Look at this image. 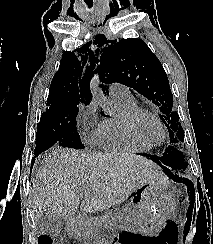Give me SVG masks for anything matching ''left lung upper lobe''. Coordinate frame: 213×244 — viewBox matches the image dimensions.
I'll return each instance as SVG.
<instances>
[{
  "label": "left lung upper lobe",
  "mask_w": 213,
  "mask_h": 244,
  "mask_svg": "<svg viewBox=\"0 0 213 244\" xmlns=\"http://www.w3.org/2000/svg\"><path fill=\"white\" fill-rule=\"evenodd\" d=\"M99 70L102 82H119L152 101L161 111L160 118L166 125L171 144L184 141V131L179 115L173 110V95L168 77L154 53L138 38L110 41L101 51ZM174 170L182 173L188 165L182 150L169 146Z\"/></svg>",
  "instance_id": "left-lung-upper-lobe-1"
}]
</instances>
